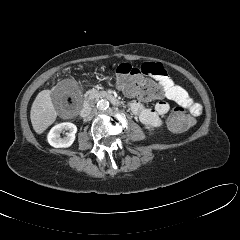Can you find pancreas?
<instances>
[{"label":"pancreas","instance_id":"obj_1","mask_svg":"<svg viewBox=\"0 0 240 240\" xmlns=\"http://www.w3.org/2000/svg\"><path fill=\"white\" fill-rule=\"evenodd\" d=\"M97 93H98V91L95 90V89H93V90L88 91V92L86 93V97L89 98V97H91L92 94H97Z\"/></svg>","mask_w":240,"mask_h":240}]
</instances>
